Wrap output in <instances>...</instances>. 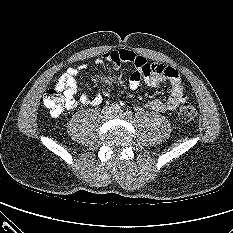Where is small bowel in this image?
<instances>
[{
  "label": "small bowel",
  "instance_id": "1",
  "mask_svg": "<svg viewBox=\"0 0 233 233\" xmlns=\"http://www.w3.org/2000/svg\"><path fill=\"white\" fill-rule=\"evenodd\" d=\"M103 61L112 63L116 69L122 63L133 64L135 70L130 74L128 79V86L132 90L139 88L141 85L159 87L166 82L170 84V94L166 100L153 99L146 103V108L151 111H173L187 99L178 71L173 67L158 63H149L145 57L127 49L105 52L102 55V59H98L96 63L101 64ZM85 69L86 65H80L78 68L70 67L57 81L56 87L64 92L68 108H73L77 105L75 100L78 90L77 77L79 72ZM79 102L83 105L98 106L103 102V96L97 94L91 97L83 93L79 98Z\"/></svg>",
  "mask_w": 233,
  "mask_h": 233
}]
</instances>
